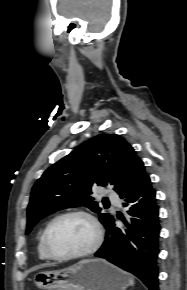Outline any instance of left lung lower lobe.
Here are the masks:
<instances>
[{"label":"left lung lower lobe","instance_id":"obj_1","mask_svg":"<svg viewBox=\"0 0 187 290\" xmlns=\"http://www.w3.org/2000/svg\"><path fill=\"white\" fill-rule=\"evenodd\" d=\"M155 195L146 174L124 192L120 197L129 209V222L122 219L127 228L115 227L113 219L107 227L110 235L95 253L137 276L149 290H159L157 260L161 228Z\"/></svg>","mask_w":187,"mask_h":290}]
</instances>
